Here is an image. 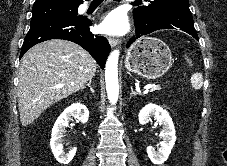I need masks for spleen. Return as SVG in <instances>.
Returning <instances> with one entry per match:
<instances>
[{"label":"spleen","instance_id":"spleen-1","mask_svg":"<svg viewBox=\"0 0 227 166\" xmlns=\"http://www.w3.org/2000/svg\"><path fill=\"white\" fill-rule=\"evenodd\" d=\"M191 83L194 89H200L203 85V77L201 73H194L191 76Z\"/></svg>","mask_w":227,"mask_h":166}]
</instances>
